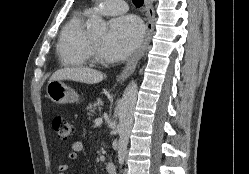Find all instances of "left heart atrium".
<instances>
[{
  "mask_svg": "<svg viewBox=\"0 0 249 174\" xmlns=\"http://www.w3.org/2000/svg\"><path fill=\"white\" fill-rule=\"evenodd\" d=\"M143 27L134 16H123L111 23V30L104 41L103 52L109 61L126 58L141 42Z\"/></svg>",
  "mask_w": 249,
  "mask_h": 174,
  "instance_id": "39dd6f15",
  "label": "left heart atrium"
}]
</instances>
